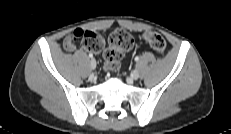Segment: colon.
I'll return each instance as SVG.
<instances>
[{
	"label": "colon",
	"mask_w": 231,
	"mask_h": 134,
	"mask_svg": "<svg viewBox=\"0 0 231 134\" xmlns=\"http://www.w3.org/2000/svg\"><path fill=\"white\" fill-rule=\"evenodd\" d=\"M75 41L81 40L82 45L93 52H100L105 47L104 35L95 30L76 29L73 33ZM144 41L155 51L163 52L166 41L163 36L154 31H147L143 35ZM133 46L132 36L124 29L117 28L109 36V46L104 52L106 67L116 70L125 51Z\"/></svg>",
	"instance_id": "obj_1"
}]
</instances>
